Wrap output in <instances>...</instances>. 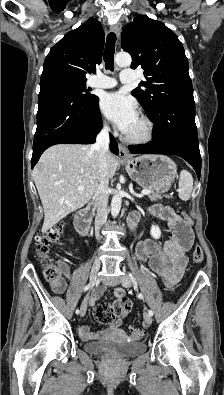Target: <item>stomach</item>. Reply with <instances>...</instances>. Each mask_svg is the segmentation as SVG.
Segmentation results:
<instances>
[{
    "label": "stomach",
    "instance_id": "1",
    "mask_svg": "<svg viewBox=\"0 0 224 395\" xmlns=\"http://www.w3.org/2000/svg\"><path fill=\"white\" fill-rule=\"evenodd\" d=\"M125 169L140 186L156 193L167 192L177 176L176 164L163 155L131 158L125 161Z\"/></svg>",
    "mask_w": 224,
    "mask_h": 395
}]
</instances>
